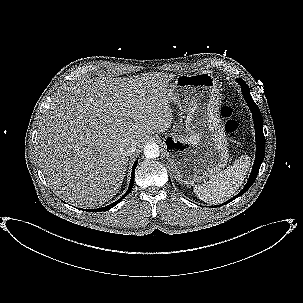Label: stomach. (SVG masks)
Here are the masks:
<instances>
[{
	"instance_id": "stomach-1",
	"label": "stomach",
	"mask_w": 303,
	"mask_h": 303,
	"mask_svg": "<svg viewBox=\"0 0 303 303\" xmlns=\"http://www.w3.org/2000/svg\"><path fill=\"white\" fill-rule=\"evenodd\" d=\"M170 102L187 114L188 135H168L167 159L175 179L194 185L219 173L228 163L229 151L220 117L221 94L208 72L180 75L169 85Z\"/></svg>"
}]
</instances>
